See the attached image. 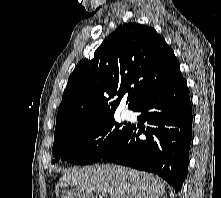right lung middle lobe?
Listing matches in <instances>:
<instances>
[{
    "label": "right lung middle lobe",
    "mask_w": 221,
    "mask_h": 198,
    "mask_svg": "<svg viewBox=\"0 0 221 198\" xmlns=\"http://www.w3.org/2000/svg\"><path fill=\"white\" fill-rule=\"evenodd\" d=\"M130 126L116 123L113 114L55 137L52 153L56 159L52 163L60 159L78 165L95 163L122 141Z\"/></svg>",
    "instance_id": "obj_1"
}]
</instances>
